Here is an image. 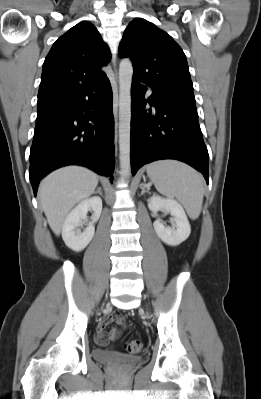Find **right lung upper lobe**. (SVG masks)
<instances>
[{"label":"right lung upper lobe","mask_w":261,"mask_h":399,"mask_svg":"<svg viewBox=\"0 0 261 399\" xmlns=\"http://www.w3.org/2000/svg\"><path fill=\"white\" fill-rule=\"evenodd\" d=\"M111 59L108 46L89 22H81L58 38L45 58L38 101L97 82Z\"/></svg>","instance_id":"cb5924a9"}]
</instances>
